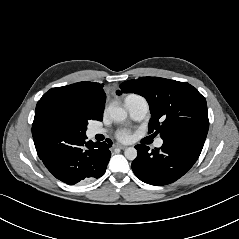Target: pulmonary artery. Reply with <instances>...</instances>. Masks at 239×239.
<instances>
[{
	"label": "pulmonary artery",
	"mask_w": 239,
	"mask_h": 239,
	"mask_svg": "<svg viewBox=\"0 0 239 239\" xmlns=\"http://www.w3.org/2000/svg\"><path fill=\"white\" fill-rule=\"evenodd\" d=\"M124 105L131 118L136 121L143 120L149 112V105L147 100L144 97L136 94L128 95L124 100ZM103 133H105V130L101 128L94 127L88 130L89 136H95L97 134ZM162 144L163 140L161 138L157 139V141L155 142L156 147H161Z\"/></svg>",
	"instance_id": "e3ab8cb5"
}]
</instances>
